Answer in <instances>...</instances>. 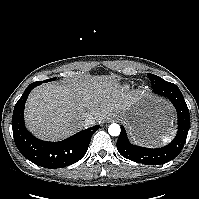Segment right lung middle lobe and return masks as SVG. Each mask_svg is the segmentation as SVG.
I'll use <instances>...</instances> for the list:
<instances>
[{"instance_id":"1","label":"right lung middle lobe","mask_w":199,"mask_h":199,"mask_svg":"<svg viewBox=\"0 0 199 199\" xmlns=\"http://www.w3.org/2000/svg\"><path fill=\"white\" fill-rule=\"evenodd\" d=\"M54 80H56V78L47 79V80H44V81H41V82H34V83H32V85L38 86V85H40L41 83L50 82V81H54Z\"/></svg>"}]
</instances>
